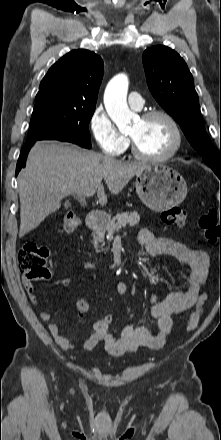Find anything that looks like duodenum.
Segmentation results:
<instances>
[{
  "mask_svg": "<svg viewBox=\"0 0 221 440\" xmlns=\"http://www.w3.org/2000/svg\"><path fill=\"white\" fill-rule=\"evenodd\" d=\"M106 222H107V216L99 213L98 211L90 212L86 220L87 227L90 230L98 229Z\"/></svg>",
  "mask_w": 221,
  "mask_h": 440,
  "instance_id": "obj_1",
  "label": "duodenum"
}]
</instances>
